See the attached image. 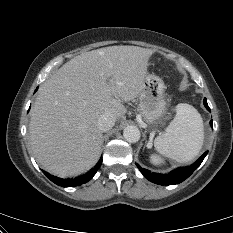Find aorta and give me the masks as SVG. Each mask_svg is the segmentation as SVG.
<instances>
[{
    "label": "aorta",
    "instance_id": "1",
    "mask_svg": "<svg viewBox=\"0 0 233 233\" xmlns=\"http://www.w3.org/2000/svg\"><path fill=\"white\" fill-rule=\"evenodd\" d=\"M123 136L126 141L136 143L140 139V131L136 126H127L123 131Z\"/></svg>",
    "mask_w": 233,
    "mask_h": 233
}]
</instances>
